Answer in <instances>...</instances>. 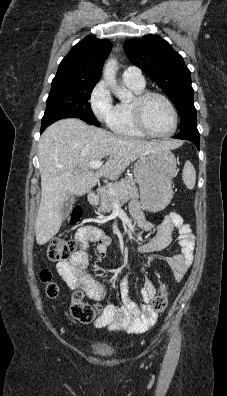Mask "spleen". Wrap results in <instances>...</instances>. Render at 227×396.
Instances as JSON below:
<instances>
[{
	"label": "spleen",
	"instance_id": "1",
	"mask_svg": "<svg viewBox=\"0 0 227 396\" xmlns=\"http://www.w3.org/2000/svg\"><path fill=\"white\" fill-rule=\"evenodd\" d=\"M182 179L188 189H194L196 183V171L190 161H186L184 165Z\"/></svg>",
	"mask_w": 227,
	"mask_h": 396
}]
</instances>
